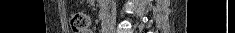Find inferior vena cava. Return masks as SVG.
<instances>
[{
    "label": "inferior vena cava",
    "instance_id": "602c4592",
    "mask_svg": "<svg viewBox=\"0 0 235 33\" xmlns=\"http://www.w3.org/2000/svg\"><path fill=\"white\" fill-rule=\"evenodd\" d=\"M111 20L113 21L114 19H115V9L114 8H112V10H111Z\"/></svg>",
    "mask_w": 235,
    "mask_h": 33
}]
</instances>
